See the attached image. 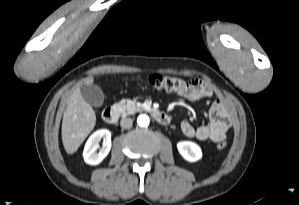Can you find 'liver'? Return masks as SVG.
Segmentation results:
<instances>
[{"label": "liver", "instance_id": "6515ba94", "mask_svg": "<svg viewBox=\"0 0 299 205\" xmlns=\"http://www.w3.org/2000/svg\"><path fill=\"white\" fill-rule=\"evenodd\" d=\"M85 84L94 82L93 77L85 79ZM96 124V115L89 103L86 102L80 92L76 89L70 95L62 120V141L65 151L73 154L83 143Z\"/></svg>", "mask_w": 299, "mask_h": 205}]
</instances>
